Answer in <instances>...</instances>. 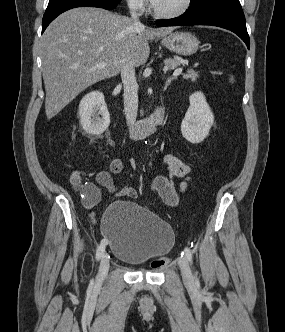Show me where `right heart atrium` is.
I'll list each match as a JSON object with an SVG mask.
<instances>
[{"mask_svg": "<svg viewBox=\"0 0 285 332\" xmlns=\"http://www.w3.org/2000/svg\"><path fill=\"white\" fill-rule=\"evenodd\" d=\"M126 2L134 11H142L146 7V0H126Z\"/></svg>", "mask_w": 285, "mask_h": 332, "instance_id": "obj_1", "label": "right heart atrium"}]
</instances>
